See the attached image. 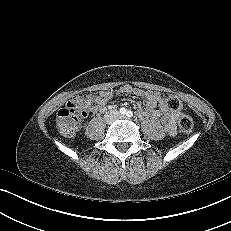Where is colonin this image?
I'll return each mask as SVG.
<instances>
[{
    "label": "colon",
    "instance_id": "1",
    "mask_svg": "<svg viewBox=\"0 0 231 231\" xmlns=\"http://www.w3.org/2000/svg\"><path fill=\"white\" fill-rule=\"evenodd\" d=\"M77 95L73 97L63 108L57 113L56 124L61 134L64 136H73L77 131L80 122L86 116V113L79 106V100ZM166 105L173 111H180L182 108L181 100L176 96H168L166 99ZM194 127L193 120L187 115H181L179 119V128L185 133L192 132Z\"/></svg>",
    "mask_w": 231,
    "mask_h": 231
}]
</instances>
